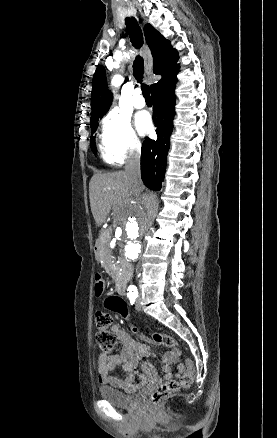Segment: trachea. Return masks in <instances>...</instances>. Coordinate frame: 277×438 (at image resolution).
Returning a JSON list of instances; mask_svg holds the SVG:
<instances>
[{"label": "trachea", "instance_id": "trachea-1", "mask_svg": "<svg viewBox=\"0 0 277 438\" xmlns=\"http://www.w3.org/2000/svg\"><path fill=\"white\" fill-rule=\"evenodd\" d=\"M125 24L133 47L136 48V50H140L143 45V33L137 20L135 18H126ZM143 74L144 61L140 55H137L133 63V75L137 82L141 84V90L145 100H151L149 86L142 83Z\"/></svg>", "mask_w": 277, "mask_h": 438}]
</instances>
